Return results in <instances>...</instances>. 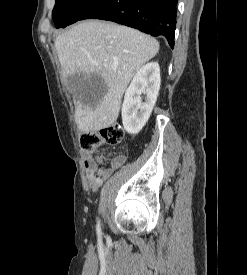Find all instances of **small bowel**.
<instances>
[{"instance_id":"c3829d8e","label":"small bowel","mask_w":247,"mask_h":275,"mask_svg":"<svg viewBox=\"0 0 247 275\" xmlns=\"http://www.w3.org/2000/svg\"><path fill=\"white\" fill-rule=\"evenodd\" d=\"M83 161L89 186L93 191H96L114 171L123 165L126 161V156L118 154L106 163L101 157L85 152Z\"/></svg>"}]
</instances>
